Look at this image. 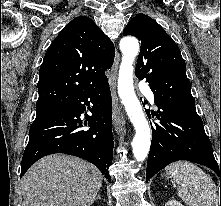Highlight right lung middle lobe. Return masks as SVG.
Instances as JSON below:
<instances>
[{"instance_id":"dd1d6c3e","label":"right lung middle lobe","mask_w":221,"mask_h":206,"mask_svg":"<svg viewBox=\"0 0 221 206\" xmlns=\"http://www.w3.org/2000/svg\"><path fill=\"white\" fill-rule=\"evenodd\" d=\"M52 108H55V107H51V108H36V110H37V113H40V112H44V111L50 110Z\"/></svg>"}]
</instances>
